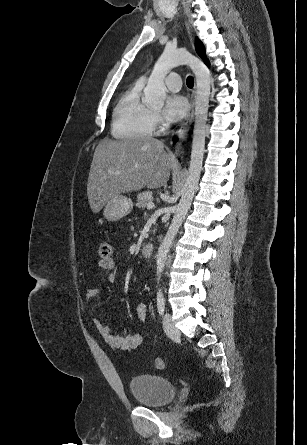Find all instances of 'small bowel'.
<instances>
[{
    "instance_id": "obj_1",
    "label": "small bowel",
    "mask_w": 307,
    "mask_h": 445,
    "mask_svg": "<svg viewBox=\"0 0 307 445\" xmlns=\"http://www.w3.org/2000/svg\"><path fill=\"white\" fill-rule=\"evenodd\" d=\"M99 267L109 272V278H114L117 271V263L115 259H100L98 261ZM99 292L96 288H90L86 292V301L91 306L97 298ZM137 315L141 320L147 317V306L144 303H139L137 306ZM94 324L102 335L106 343L109 345L126 351H131L139 348L145 339V333H121L113 334L111 329L106 326L100 319H95Z\"/></svg>"
}]
</instances>
